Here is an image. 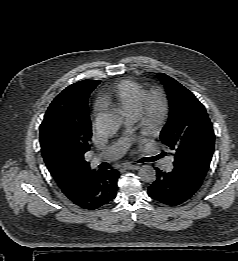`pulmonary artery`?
<instances>
[{"mask_svg": "<svg viewBox=\"0 0 238 261\" xmlns=\"http://www.w3.org/2000/svg\"><path fill=\"white\" fill-rule=\"evenodd\" d=\"M134 118H130L132 122ZM131 133V130H127V135ZM130 138L128 136L121 138L116 143L102 150L93 158V163L97 164L101 161H111L120 158L129 147ZM163 166L166 170L171 171L173 169V159L167 158L163 161Z\"/></svg>", "mask_w": 238, "mask_h": 261, "instance_id": "pulmonary-artery-1", "label": "pulmonary artery"}]
</instances>
